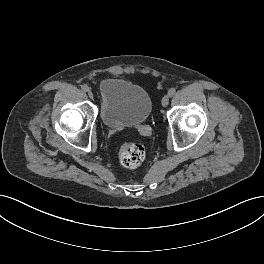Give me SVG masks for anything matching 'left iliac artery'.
I'll return each mask as SVG.
<instances>
[{
  "mask_svg": "<svg viewBox=\"0 0 264 264\" xmlns=\"http://www.w3.org/2000/svg\"><path fill=\"white\" fill-rule=\"evenodd\" d=\"M175 92H176L175 88H171V89H169V91H168V95H169L170 97H172V96L175 94Z\"/></svg>",
  "mask_w": 264,
  "mask_h": 264,
  "instance_id": "1",
  "label": "left iliac artery"
}]
</instances>
